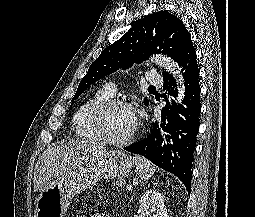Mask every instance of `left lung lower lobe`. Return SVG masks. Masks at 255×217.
<instances>
[{"mask_svg":"<svg viewBox=\"0 0 255 217\" xmlns=\"http://www.w3.org/2000/svg\"><path fill=\"white\" fill-rule=\"evenodd\" d=\"M193 45L186 48L179 56L177 63L185 79V98L182 104H176L178 91L175 79L163 72L166 91L163 94L165 107L161 110V121L155 122L149 135L124 149L139 154L158 167L173 173L191 190V166L199 130V69Z\"/></svg>","mask_w":255,"mask_h":217,"instance_id":"obj_1","label":"left lung lower lobe"}]
</instances>
